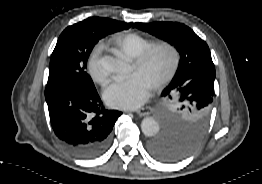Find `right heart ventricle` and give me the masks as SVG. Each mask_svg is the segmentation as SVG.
<instances>
[{
    "instance_id": "1",
    "label": "right heart ventricle",
    "mask_w": 262,
    "mask_h": 184,
    "mask_svg": "<svg viewBox=\"0 0 262 184\" xmlns=\"http://www.w3.org/2000/svg\"><path fill=\"white\" fill-rule=\"evenodd\" d=\"M115 42L119 51L132 59L138 57L146 48L155 43L153 40L137 33L119 35Z\"/></svg>"
}]
</instances>
